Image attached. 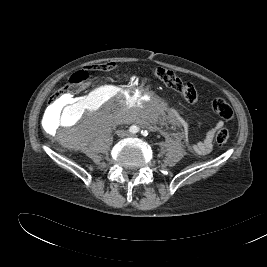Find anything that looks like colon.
Segmentation results:
<instances>
[{
	"mask_svg": "<svg viewBox=\"0 0 267 267\" xmlns=\"http://www.w3.org/2000/svg\"><path fill=\"white\" fill-rule=\"evenodd\" d=\"M114 68L113 63H104L95 67L97 70L109 71ZM153 76L166 87L178 92L182 98L188 103H195L198 100V93L193 84L184 82L173 71L164 68L156 67L152 70ZM87 71H78L74 73L68 83L56 90L50 97L49 104L57 106L64 101L70 99L73 93L81 88L88 80ZM212 109L215 114L225 120L233 117V109L231 105L222 98H216L212 101ZM229 139V131L226 128H221L216 134V142L220 145L225 144Z\"/></svg>",
	"mask_w": 267,
	"mask_h": 267,
	"instance_id": "1",
	"label": "colon"
}]
</instances>
